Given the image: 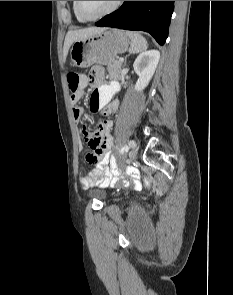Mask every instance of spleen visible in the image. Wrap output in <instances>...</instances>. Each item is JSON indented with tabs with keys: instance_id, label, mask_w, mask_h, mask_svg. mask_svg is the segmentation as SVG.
<instances>
[{
	"instance_id": "spleen-1",
	"label": "spleen",
	"mask_w": 233,
	"mask_h": 295,
	"mask_svg": "<svg viewBox=\"0 0 233 295\" xmlns=\"http://www.w3.org/2000/svg\"><path fill=\"white\" fill-rule=\"evenodd\" d=\"M127 36L131 41V46L129 49L130 53H139L147 49V41L146 39L138 32L127 31Z\"/></svg>"
}]
</instances>
